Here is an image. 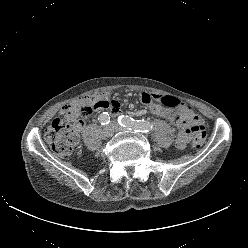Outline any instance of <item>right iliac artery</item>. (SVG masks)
I'll list each match as a JSON object with an SVG mask.
<instances>
[{
	"mask_svg": "<svg viewBox=\"0 0 248 248\" xmlns=\"http://www.w3.org/2000/svg\"><path fill=\"white\" fill-rule=\"evenodd\" d=\"M98 120L102 125H107L110 122V116L107 112H103L99 115Z\"/></svg>",
	"mask_w": 248,
	"mask_h": 248,
	"instance_id": "1",
	"label": "right iliac artery"
}]
</instances>
